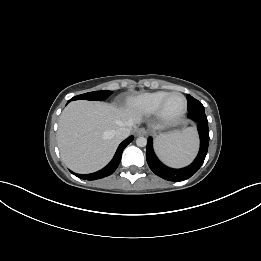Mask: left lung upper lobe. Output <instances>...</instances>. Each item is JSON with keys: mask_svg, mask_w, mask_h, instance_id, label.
<instances>
[{"mask_svg": "<svg viewBox=\"0 0 261 261\" xmlns=\"http://www.w3.org/2000/svg\"><path fill=\"white\" fill-rule=\"evenodd\" d=\"M187 101H188V111H204V106L201 102L196 100L190 95H187Z\"/></svg>", "mask_w": 261, "mask_h": 261, "instance_id": "5c2ea615", "label": "left lung upper lobe"}]
</instances>
